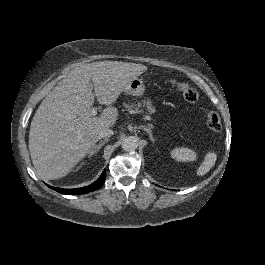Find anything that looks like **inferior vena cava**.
I'll use <instances>...</instances> for the list:
<instances>
[{"instance_id": "inferior-vena-cava-1", "label": "inferior vena cava", "mask_w": 265, "mask_h": 265, "mask_svg": "<svg viewBox=\"0 0 265 265\" xmlns=\"http://www.w3.org/2000/svg\"><path fill=\"white\" fill-rule=\"evenodd\" d=\"M114 133L113 129H111L108 125L103 126L102 128H100V130L98 131V134L100 137H104V136H111Z\"/></svg>"}]
</instances>
